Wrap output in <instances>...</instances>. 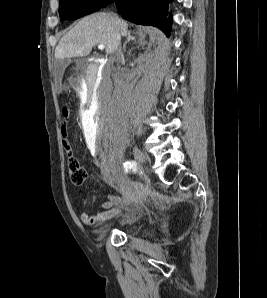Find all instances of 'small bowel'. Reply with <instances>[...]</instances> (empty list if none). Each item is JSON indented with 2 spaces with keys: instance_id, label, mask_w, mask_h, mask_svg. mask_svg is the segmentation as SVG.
I'll use <instances>...</instances> for the list:
<instances>
[{
  "instance_id": "c3829d8e",
  "label": "small bowel",
  "mask_w": 267,
  "mask_h": 298,
  "mask_svg": "<svg viewBox=\"0 0 267 298\" xmlns=\"http://www.w3.org/2000/svg\"><path fill=\"white\" fill-rule=\"evenodd\" d=\"M111 184L119 194L108 195L107 200L102 203V211L96 215H91L86 212L82 213L80 218L83 224L88 226L101 224L114 219L122 213L120 206L131 199L133 193L127 182L122 178L112 179Z\"/></svg>"
}]
</instances>
